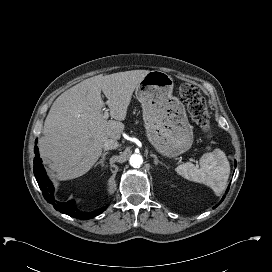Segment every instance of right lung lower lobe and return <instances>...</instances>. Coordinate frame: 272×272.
Returning <instances> with one entry per match:
<instances>
[{"label": "right lung lower lobe", "instance_id": "obj_1", "mask_svg": "<svg viewBox=\"0 0 272 272\" xmlns=\"http://www.w3.org/2000/svg\"><path fill=\"white\" fill-rule=\"evenodd\" d=\"M37 142V140H36ZM34 153L36 154L34 158V175L36 177V180L38 182V185L40 189L42 190L43 196L46 199V201L54 206V208L61 213H65L71 217L79 218V219H91L95 216H98L101 214L106 207L101 208L99 210L83 213L76 209L75 207V201L70 200L68 202H57L54 199L53 193H54V187L52 186L51 182L49 181L47 174L45 172V169L42 165V160L39 157V151L37 146L34 147Z\"/></svg>", "mask_w": 272, "mask_h": 272}]
</instances>
